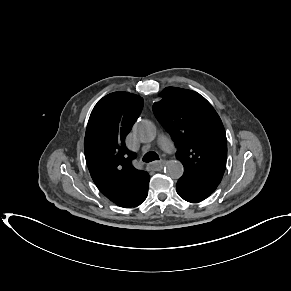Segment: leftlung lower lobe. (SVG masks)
Segmentation results:
<instances>
[{"label":"left lung lower lobe","mask_w":291,"mask_h":291,"mask_svg":"<svg viewBox=\"0 0 291 291\" xmlns=\"http://www.w3.org/2000/svg\"><path fill=\"white\" fill-rule=\"evenodd\" d=\"M176 190L178 195L191 203L201 202L202 200L206 199L209 195L198 193L196 191H193L192 189L184 186L180 182H177L176 184Z\"/></svg>","instance_id":"1"}]
</instances>
